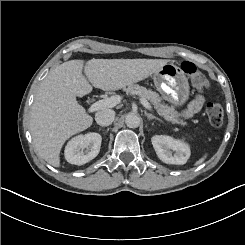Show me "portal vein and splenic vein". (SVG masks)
Returning a JSON list of instances; mask_svg holds the SVG:
<instances>
[{
	"label": "portal vein and splenic vein",
	"instance_id": "obj_1",
	"mask_svg": "<svg viewBox=\"0 0 245 245\" xmlns=\"http://www.w3.org/2000/svg\"><path fill=\"white\" fill-rule=\"evenodd\" d=\"M124 98H125V96L120 95V94L110 96L108 98L102 99V100L94 103L93 106L91 107V110L95 111V110L102 109V108L115 107L116 105L120 104V102H122ZM138 99H139V102L144 107L150 108V104L145 98L139 97Z\"/></svg>",
	"mask_w": 245,
	"mask_h": 245
}]
</instances>
